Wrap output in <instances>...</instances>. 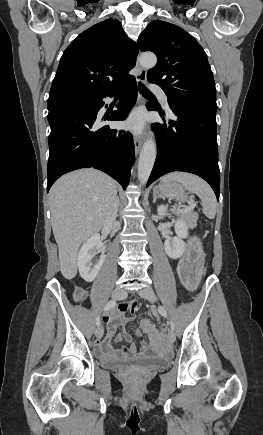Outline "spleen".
Wrapping results in <instances>:
<instances>
[{
	"mask_svg": "<svg viewBox=\"0 0 263 435\" xmlns=\"http://www.w3.org/2000/svg\"><path fill=\"white\" fill-rule=\"evenodd\" d=\"M166 181L182 184L185 189L197 194L202 201L203 213L209 219L215 218L217 208L216 197L210 186L203 179L186 172H173L161 179V182Z\"/></svg>",
	"mask_w": 263,
	"mask_h": 435,
	"instance_id": "spleen-1",
	"label": "spleen"
}]
</instances>
